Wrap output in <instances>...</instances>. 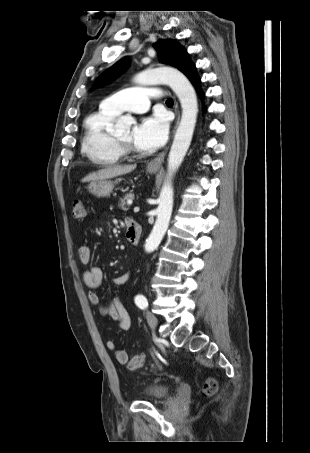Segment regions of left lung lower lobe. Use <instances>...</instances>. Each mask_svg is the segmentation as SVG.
Segmentation results:
<instances>
[{
  "label": "left lung lower lobe",
  "mask_w": 310,
  "mask_h": 453,
  "mask_svg": "<svg viewBox=\"0 0 310 453\" xmlns=\"http://www.w3.org/2000/svg\"><path fill=\"white\" fill-rule=\"evenodd\" d=\"M180 71H182L188 78L189 80L192 82V84L195 86L198 94L200 96H203L202 93L200 92V90L198 89V85H199V80L196 76V72H195V66L191 63L190 59H188L181 67Z\"/></svg>",
  "instance_id": "0a47b994"
}]
</instances>
